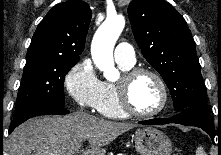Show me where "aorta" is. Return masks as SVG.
Here are the masks:
<instances>
[{"instance_id":"762f6f07","label":"aorta","mask_w":221,"mask_h":155,"mask_svg":"<svg viewBox=\"0 0 221 155\" xmlns=\"http://www.w3.org/2000/svg\"><path fill=\"white\" fill-rule=\"evenodd\" d=\"M124 26L125 20L122 16L109 17L98 28L92 40V59L109 81H114L119 76L114 66L113 48Z\"/></svg>"}]
</instances>
